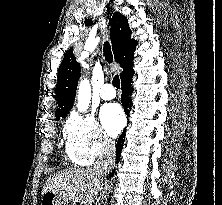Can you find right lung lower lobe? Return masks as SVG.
<instances>
[{
	"label": "right lung lower lobe",
	"instance_id": "right-lung-lower-lobe-1",
	"mask_svg": "<svg viewBox=\"0 0 222 205\" xmlns=\"http://www.w3.org/2000/svg\"><path fill=\"white\" fill-rule=\"evenodd\" d=\"M133 74L134 72L128 74L127 76L121 79V84H122L121 102L124 107V111L127 115L129 114L130 108L132 105V102L130 100V94L133 91V87L131 84V79H132ZM124 141H125V130L118 138V142L116 145V160H117L116 163L119 162L120 160L121 150L123 148ZM113 175H114V172L110 173L111 177H113Z\"/></svg>",
	"mask_w": 222,
	"mask_h": 205
}]
</instances>
